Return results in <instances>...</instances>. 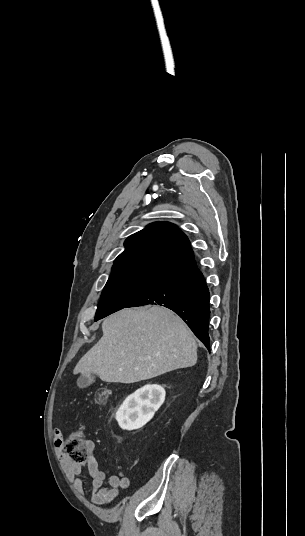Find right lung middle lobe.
Listing matches in <instances>:
<instances>
[{
    "mask_svg": "<svg viewBox=\"0 0 305 536\" xmlns=\"http://www.w3.org/2000/svg\"><path fill=\"white\" fill-rule=\"evenodd\" d=\"M164 276L122 275L109 277L101 294L95 321L127 307L155 287Z\"/></svg>",
    "mask_w": 305,
    "mask_h": 536,
    "instance_id": "right-lung-middle-lobe-1",
    "label": "right lung middle lobe"
}]
</instances>
